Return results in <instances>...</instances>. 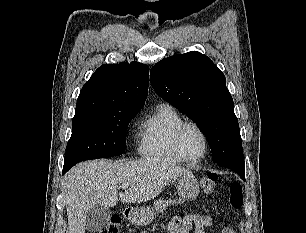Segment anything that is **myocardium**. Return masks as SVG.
<instances>
[{
  "label": "myocardium",
  "mask_w": 306,
  "mask_h": 233,
  "mask_svg": "<svg viewBox=\"0 0 306 233\" xmlns=\"http://www.w3.org/2000/svg\"><path fill=\"white\" fill-rule=\"evenodd\" d=\"M189 127L195 128L201 134V136L203 138V141H204V151L197 158H188L184 154V152L182 150V147H181L182 134ZM173 145H174V149H175V152L178 155V157L182 161L188 162V163H195V162L201 161L202 159H204L207 156L208 151H209V139H208V136H207L206 132L204 131V129L199 124H197L196 122H193V121H185L178 126V128L176 129V131L174 133Z\"/></svg>",
  "instance_id": "1"
}]
</instances>
